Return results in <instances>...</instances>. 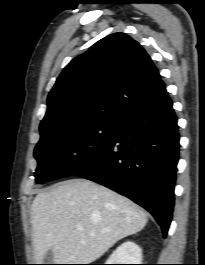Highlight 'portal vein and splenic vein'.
<instances>
[{"label":"portal vein and splenic vein","mask_w":205,"mask_h":265,"mask_svg":"<svg viewBox=\"0 0 205 265\" xmlns=\"http://www.w3.org/2000/svg\"><path fill=\"white\" fill-rule=\"evenodd\" d=\"M83 228L82 227H78V230H82Z\"/></svg>","instance_id":"1"}]
</instances>
